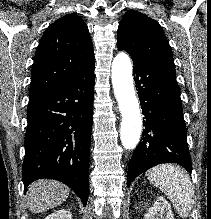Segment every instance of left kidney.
Wrapping results in <instances>:
<instances>
[{
	"label": "left kidney",
	"instance_id": "5707ae66",
	"mask_svg": "<svg viewBox=\"0 0 211 219\" xmlns=\"http://www.w3.org/2000/svg\"><path fill=\"white\" fill-rule=\"evenodd\" d=\"M144 219H174V216L170 204L160 196L149 208Z\"/></svg>",
	"mask_w": 211,
	"mask_h": 219
}]
</instances>
